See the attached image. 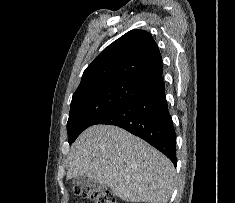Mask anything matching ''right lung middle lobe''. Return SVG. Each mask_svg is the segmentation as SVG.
Masks as SVG:
<instances>
[{
    "label": "right lung middle lobe",
    "instance_id": "dd1d6c3e",
    "mask_svg": "<svg viewBox=\"0 0 235 203\" xmlns=\"http://www.w3.org/2000/svg\"><path fill=\"white\" fill-rule=\"evenodd\" d=\"M147 86L128 81H109L94 84L73 94L67 122L68 141L127 100L139 95Z\"/></svg>",
    "mask_w": 235,
    "mask_h": 203
}]
</instances>
